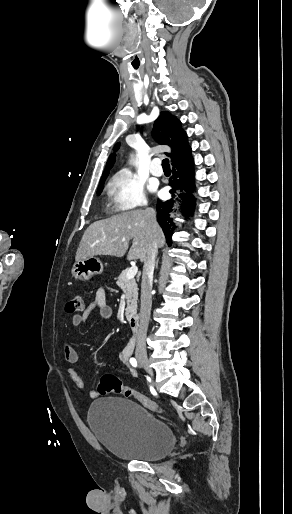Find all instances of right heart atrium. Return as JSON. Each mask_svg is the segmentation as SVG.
I'll use <instances>...</instances> for the list:
<instances>
[{
	"instance_id": "obj_1",
	"label": "right heart atrium",
	"mask_w": 292,
	"mask_h": 514,
	"mask_svg": "<svg viewBox=\"0 0 292 514\" xmlns=\"http://www.w3.org/2000/svg\"><path fill=\"white\" fill-rule=\"evenodd\" d=\"M108 197L117 212L118 209L141 207L145 204V181L136 173L121 170L108 184Z\"/></svg>"
}]
</instances>
